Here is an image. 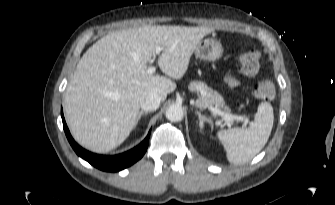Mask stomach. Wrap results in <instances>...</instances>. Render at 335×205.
Returning <instances> with one entry per match:
<instances>
[{
    "label": "stomach",
    "mask_w": 335,
    "mask_h": 205,
    "mask_svg": "<svg viewBox=\"0 0 335 205\" xmlns=\"http://www.w3.org/2000/svg\"><path fill=\"white\" fill-rule=\"evenodd\" d=\"M194 53L196 58L214 62L222 57L223 46L220 41L214 38H207L198 43Z\"/></svg>",
    "instance_id": "1"
}]
</instances>
